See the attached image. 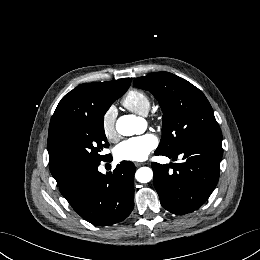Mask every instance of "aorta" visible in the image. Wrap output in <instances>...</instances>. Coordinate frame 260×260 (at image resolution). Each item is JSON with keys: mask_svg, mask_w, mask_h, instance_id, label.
Here are the masks:
<instances>
[{"mask_svg": "<svg viewBox=\"0 0 260 260\" xmlns=\"http://www.w3.org/2000/svg\"><path fill=\"white\" fill-rule=\"evenodd\" d=\"M141 118L134 115H124L118 118L116 130L123 136H132L141 131ZM135 178L140 183H148L153 178V171L149 167H141L135 173Z\"/></svg>", "mask_w": 260, "mask_h": 260, "instance_id": "762f6f07", "label": "aorta"}]
</instances>
